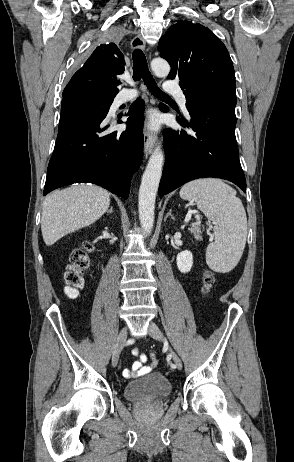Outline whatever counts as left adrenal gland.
<instances>
[{
	"label": "left adrenal gland",
	"instance_id": "obj_1",
	"mask_svg": "<svg viewBox=\"0 0 294 462\" xmlns=\"http://www.w3.org/2000/svg\"><path fill=\"white\" fill-rule=\"evenodd\" d=\"M169 216H170L172 219H174V216H173V214H172V210H169V212L166 214V216H165V218H164V221H166L167 218H168Z\"/></svg>",
	"mask_w": 294,
	"mask_h": 462
}]
</instances>
